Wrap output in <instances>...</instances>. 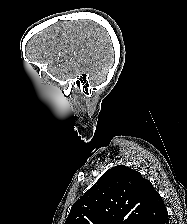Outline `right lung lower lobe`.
<instances>
[{
	"instance_id": "1",
	"label": "right lung lower lobe",
	"mask_w": 187,
	"mask_h": 224,
	"mask_svg": "<svg viewBox=\"0 0 187 224\" xmlns=\"http://www.w3.org/2000/svg\"><path fill=\"white\" fill-rule=\"evenodd\" d=\"M157 224H169L168 214H166Z\"/></svg>"
}]
</instances>
